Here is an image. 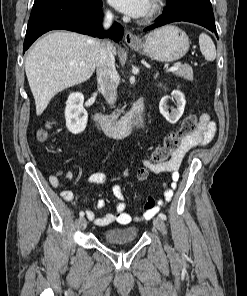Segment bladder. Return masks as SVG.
Listing matches in <instances>:
<instances>
[{
	"label": "bladder",
	"instance_id": "1",
	"mask_svg": "<svg viewBox=\"0 0 247 296\" xmlns=\"http://www.w3.org/2000/svg\"><path fill=\"white\" fill-rule=\"evenodd\" d=\"M138 235L137 226H125L121 228H112L104 232L103 239L107 243H128L136 240Z\"/></svg>",
	"mask_w": 247,
	"mask_h": 296
}]
</instances>
